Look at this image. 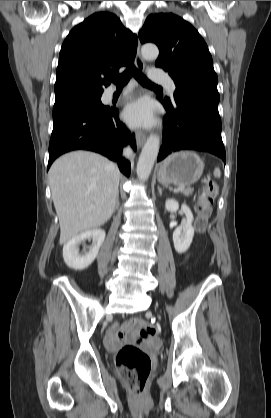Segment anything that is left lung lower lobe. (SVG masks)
Here are the masks:
<instances>
[{"label":"left lung lower lobe","mask_w":271,"mask_h":418,"mask_svg":"<svg viewBox=\"0 0 271 418\" xmlns=\"http://www.w3.org/2000/svg\"><path fill=\"white\" fill-rule=\"evenodd\" d=\"M163 103L166 132L157 161L180 150L209 152L226 162L221 138V119L218 102L190 93H180L172 106Z\"/></svg>","instance_id":"left-lung-lower-lobe-1"}]
</instances>
